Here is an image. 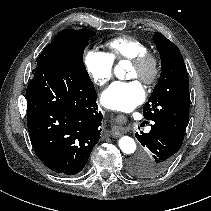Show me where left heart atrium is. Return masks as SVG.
<instances>
[{
  "instance_id": "left-heart-atrium-1",
  "label": "left heart atrium",
  "mask_w": 211,
  "mask_h": 211,
  "mask_svg": "<svg viewBox=\"0 0 211 211\" xmlns=\"http://www.w3.org/2000/svg\"><path fill=\"white\" fill-rule=\"evenodd\" d=\"M145 95L138 80L116 81L101 94V102L110 110L128 112L141 104Z\"/></svg>"
}]
</instances>
